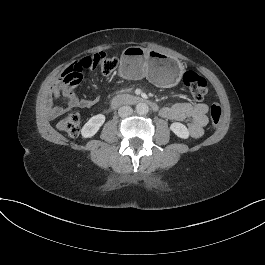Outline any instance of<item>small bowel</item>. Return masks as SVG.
Instances as JSON below:
<instances>
[{"label": "small bowel", "mask_w": 265, "mask_h": 265, "mask_svg": "<svg viewBox=\"0 0 265 265\" xmlns=\"http://www.w3.org/2000/svg\"><path fill=\"white\" fill-rule=\"evenodd\" d=\"M61 94L67 99L69 108H90L96 104L95 99H79L75 95L74 88L64 89L55 86L53 96L58 98ZM63 112L64 109L61 107H52L49 115L51 118H55ZM207 112L208 106L205 103L181 102L160 109V115L168 120L183 121L188 118L191 119L188 130L193 138H199L204 134V127L207 124Z\"/></svg>", "instance_id": "obj_1"}]
</instances>
